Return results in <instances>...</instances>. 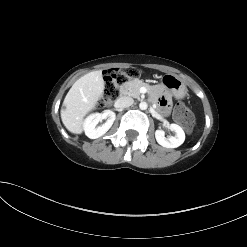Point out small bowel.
<instances>
[{"label":"small bowel","instance_id":"c3829d8e","mask_svg":"<svg viewBox=\"0 0 247 247\" xmlns=\"http://www.w3.org/2000/svg\"><path fill=\"white\" fill-rule=\"evenodd\" d=\"M159 92V88L156 89V93ZM159 103L161 105V107L167 111L169 109V100L167 97H162L159 99Z\"/></svg>","mask_w":247,"mask_h":247}]
</instances>
